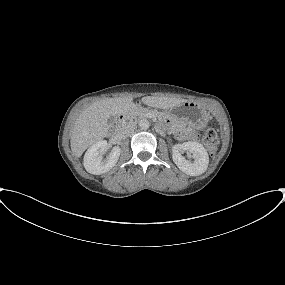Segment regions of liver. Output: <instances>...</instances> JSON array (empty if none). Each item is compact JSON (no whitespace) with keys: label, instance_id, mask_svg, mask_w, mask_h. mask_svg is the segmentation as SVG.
I'll list each match as a JSON object with an SVG mask.
<instances>
[{"label":"liver","instance_id":"obj_1","mask_svg":"<svg viewBox=\"0 0 285 285\" xmlns=\"http://www.w3.org/2000/svg\"><path fill=\"white\" fill-rule=\"evenodd\" d=\"M142 103L158 109H173L186 102V99L173 97L146 96ZM135 108L133 97L106 98L89 105L78 116L71 132V150L74 156L81 157L84 151L107 136L108 119L126 114Z\"/></svg>","mask_w":285,"mask_h":285}]
</instances>
